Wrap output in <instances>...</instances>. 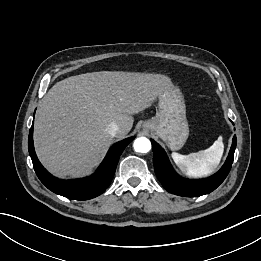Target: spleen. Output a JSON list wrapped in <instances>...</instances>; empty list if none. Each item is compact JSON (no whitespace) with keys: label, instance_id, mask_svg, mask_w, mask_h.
I'll return each mask as SVG.
<instances>
[{"label":"spleen","instance_id":"3e777b00","mask_svg":"<svg viewBox=\"0 0 261 261\" xmlns=\"http://www.w3.org/2000/svg\"><path fill=\"white\" fill-rule=\"evenodd\" d=\"M224 151L220 136L212 146L188 155L176 152L171 154L175 164L188 176L203 177L210 175L218 167Z\"/></svg>","mask_w":261,"mask_h":261}]
</instances>
